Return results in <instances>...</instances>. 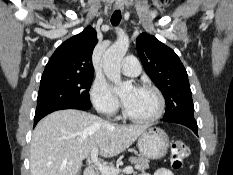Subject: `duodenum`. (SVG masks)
Returning a JSON list of instances; mask_svg holds the SVG:
<instances>
[{"instance_id": "1", "label": "duodenum", "mask_w": 233, "mask_h": 175, "mask_svg": "<svg viewBox=\"0 0 233 175\" xmlns=\"http://www.w3.org/2000/svg\"><path fill=\"white\" fill-rule=\"evenodd\" d=\"M84 175H97L96 169L93 166H89L85 169Z\"/></svg>"}]
</instances>
